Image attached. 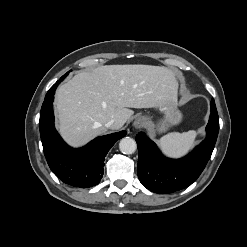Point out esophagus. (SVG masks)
<instances>
[{
    "instance_id": "obj_1",
    "label": "esophagus",
    "mask_w": 247,
    "mask_h": 247,
    "mask_svg": "<svg viewBox=\"0 0 247 247\" xmlns=\"http://www.w3.org/2000/svg\"><path fill=\"white\" fill-rule=\"evenodd\" d=\"M145 123L146 121L143 117H137L133 122V126L136 129H140L145 126Z\"/></svg>"
}]
</instances>
